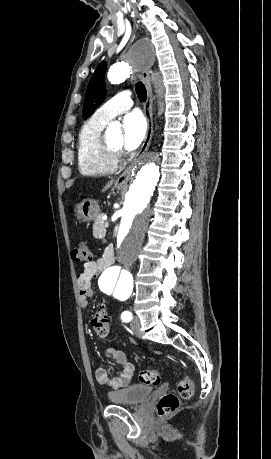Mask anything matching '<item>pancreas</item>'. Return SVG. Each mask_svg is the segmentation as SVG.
I'll return each instance as SVG.
<instances>
[{
    "label": "pancreas",
    "instance_id": "pancreas-1",
    "mask_svg": "<svg viewBox=\"0 0 271 459\" xmlns=\"http://www.w3.org/2000/svg\"><path fill=\"white\" fill-rule=\"evenodd\" d=\"M104 222L102 220V216L96 220L94 224V229H95V237L97 239H102L104 237V229H103Z\"/></svg>",
    "mask_w": 271,
    "mask_h": 459
}]
</instances>
